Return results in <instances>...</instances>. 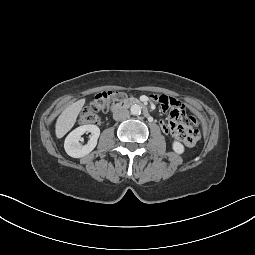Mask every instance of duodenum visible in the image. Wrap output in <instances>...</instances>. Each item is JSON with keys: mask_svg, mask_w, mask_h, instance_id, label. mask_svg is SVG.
<instances>
[{"mask_svg": "<svg viewBox=\"0 0 255 255\" xmlns=\"http://www.w3.org/2000/svg\"><path fill=\"white\" fill-rule=\"evenodd\" d=\"M131 106H142L144 109L145 115L149 117V111H148L145 103L142 100L135 98V97L125 98L122 101H119L118 103L114 104L111 108V112H115V111H118V110H121L124 108H128Z\"/></svg>", "mask_w": 255, "mask_h": 255, "instance_id": "1", "label": "duodenum"}]
</instances>
